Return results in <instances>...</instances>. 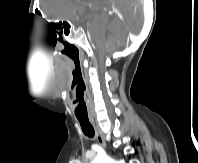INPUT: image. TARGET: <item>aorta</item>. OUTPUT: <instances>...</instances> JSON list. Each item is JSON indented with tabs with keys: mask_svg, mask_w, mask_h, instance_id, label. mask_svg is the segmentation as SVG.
Wrapping results in <instances>:
<instances>
[{
	"mask_svg": "<svg viewBox=\"0 0 198 163\" xmlns=\"http://www.w3.org/2000/svg\"><path fill=\"white\" fill-rule=\"evenodd\" d=\"M91 163H115V162L106 155H98L91 161Z\"/></svg>",
	"mask_w": 198,
	"mask_h": 163,
	"instance_id": "aorta-1",
	"label": "aorta"
}]
</instances>
